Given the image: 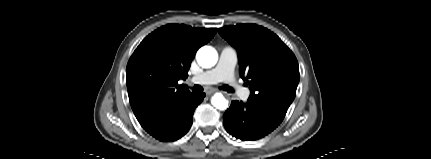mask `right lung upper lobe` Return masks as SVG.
<instances>
[{"label":"right lung upper lobe","mask_w":431,"mask_h":159,"mask_svg":"<svg viewBox=\"0 0 431 159\" xmlns=\"http://www.w3.org/2000/svg\"><path fill=\"white\" fill-rule=\"evenodd\" d=\"M216 31V28L168 24L139 44L128 61L126 76L129 101L141 126L190 93L178 81L188 77L197 50Z\"/></svg>","instance_id":"obj_1"}]
</instances>
